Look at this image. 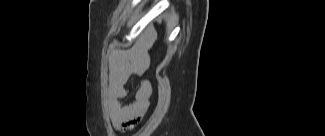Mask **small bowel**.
<instances>
[{
    "mask_svg": "<svg viewBox=\"0 0 325 136\" xmlns=\"http://www.w3.org/2000/svg\"><path fill=\"white\" fill-rule=\"evenodd\" d=\"M145 66L137 64L126 51H112L109 58L108 107L112 123L127 130L139 121L148 109L152 84L144 79L139 84L133 101L127 106L122 100L127 95L126 82L133 74H142Z\"/></svg>",
    "mask_w": 325,
    "mask_h": 136,
    "instance_id": "small-bowel-1",
    "label": "small bowel"
}]
</instances>
